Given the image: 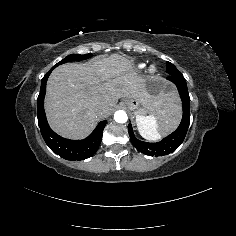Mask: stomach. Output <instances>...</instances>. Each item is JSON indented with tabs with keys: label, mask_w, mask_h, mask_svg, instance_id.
<instances>
[{
	"label": "stomach",
	"mask_w": 236,
	"mask_h": 236,
	"mask_svg": "<svg viewBox=\"0 0 236 236\" xmlns=\"http://www.w3.org/2000/svg\"><path fill=\"white\" fill-rule=\"evenodd\" d=\"M143 90L145 96L161 110L167 109L178 95L175 86L161 75L147 76L143 82ZM122 106L133 111L136 116H145L148 113L143 103L136 98L125 97Z\"/></svg>",
	"instance_id": "stomach-1"
}]
</instances>
